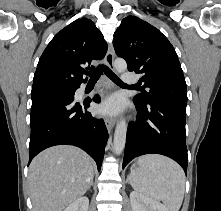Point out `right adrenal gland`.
Wrapping results in <instances>:
<instances>
[{
  "label": "right adrenal gland",
  "mask_w": 221,
  "mask_h": 211,
  "mask_svg": "<svg viewBox=\"0 0 221 211\" xmlns=\"http://www.w3.org/2000/svg\"><path fill=\"white\" fill-rule=\"evenodd\" d=\"M90 186H93V178L91 180ZM90 186H89V189H90Z\"/></svg>",
  "instance_id": "1"
}]
</instances>
